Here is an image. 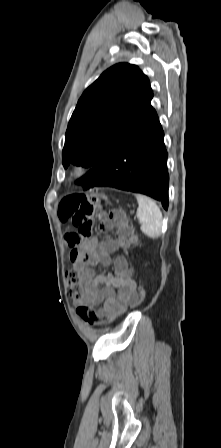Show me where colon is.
<instances>
[{
    "label": "colon",
    "instance_id": "colon-1",
    "mask_svg": "<svg viewBox=\"0 0 221 448\" xmlns=\"http://www.w3.org/2000/svg\"><path fill=\"white\" fill-rule=\"evenodd\" d=\"M103 197L97 194L81 195L71 194L65 196L58 207L59 218L64 222H71L81 239H87L91 236L97 221L95 214L100 209L101 199ZM110 221L122 225L124 219L121 215L111 213ZM85 262L90 261V255L84 257ZM66 279L69 284V294L72 299L79 300L82 296V278L79 272L73 267L66 271ZM145 298V289L142 285L138 286L137 297L129 305L130 309L138 307ZM78 315L87 323L93 325L98 323L96 313L88 306L80 305L77 308ZM116 317L109 316L101 322H112Z\"/></svg>",
    "mask_w": 221,
    "mask_h": 448
}]
</instances>
